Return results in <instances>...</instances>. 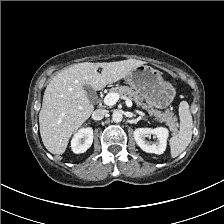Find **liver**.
I'll list each match as a JSON object with an SVG mask.
<instances>
[{
	"instance_id": "liver-1",
	"label": "liver",
	"mask_w": 224,
	"mask_h": 224,
	"mask_svg": "<svg viewBox=\"0 0 224 224\" xmlns=\"http://www.w3.org/2000/svg\"><path fill=\"white\" fill-rule=\"evenodd\" d=\"M145 62L128 59L117 62H83L61 70L47 85L39 113L40 135L52 154H63L71 136L91 116L94 107L84 90L89 85L101 90L125 78ZM98 68H102L99 73Z\"/></svg>"
}]
</instances>
